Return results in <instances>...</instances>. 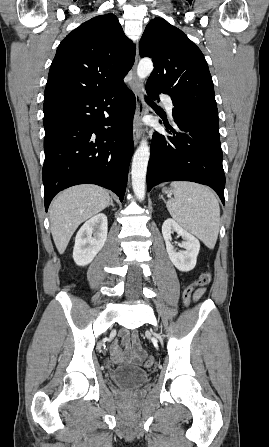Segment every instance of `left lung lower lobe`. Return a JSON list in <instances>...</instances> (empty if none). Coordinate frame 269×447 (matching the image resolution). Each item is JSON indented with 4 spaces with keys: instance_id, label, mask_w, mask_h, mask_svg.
<instances>
[{
    "instance_id": "1",
    "label": "left lung lower lobe",
    "mask_w": 269,
    "mask_h": 447,
    "mask_svg": "<svg viewBox=\"0 0 269 447\" xmlns=\"http://www.w3.org/2000/svg\"><path fill=\"white\" fill-rule=\"evenodd\" d=\"M155 98L159 92L146 88ZM174 129L164 119L167 132L153 134L147 169V189L166 181H191L210 186L224 205L225 175L219 127L195 122L173 111Z\"/></svg>"
}]
</instances>
